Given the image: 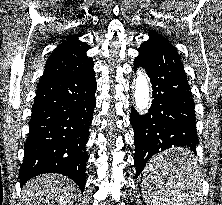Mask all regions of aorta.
I'll list each match as a JSON object with an SVG mask.
<instances>
[{"mask_svg": "<svg viewBox=\"0 0 222 205\" xmlns=\"http://www.w3.org/2000/svg\"><path fill=\"white\" fill-rule=\"evenodd\" d=\"M133 105L139 114H144L150 105V85L148 77L142 69L137 72L133 79L130 91Z\"/></svg>", "mask_w": 222, "mask_h": 205, "instance_id": "obj_1", "label": "aorta"}]
</instances>
